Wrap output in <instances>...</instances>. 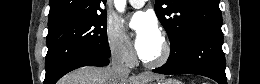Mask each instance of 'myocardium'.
Wrapping results in <instances>:
<instances>
[{"label": "myocardium", "instance_id": "1", "mask_svg": "<svg viewBox=\"0 0 260 84\" xmlns=\"http://www.w3.org/2000/svg\"><path fill=\"white\" fill-rule=\"evenodd\" d=\"M171 55V45L168 39L163 36L161 39V51L160 54L154 59H146L141 57L143 65L149 68H158L165 65Z\"/></svg>", "mask_w": 260, "mask_h": 84}]
</instances>
